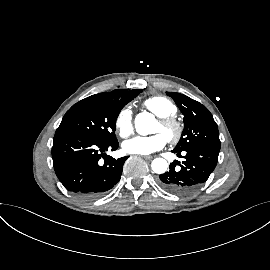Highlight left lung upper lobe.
I'll list each match as a JSON object with an SVG mask.
<instances>
[{
	"label": "left lung upper lobe",
	"mask_w": 270,
	"mask_h": 270,
	"mask_svg": "<svg viewBox=\"0 0 270 270\" xmlns=\"http://www.w3.org/2000/svg\"><path fill=\"white\" fill-rule=\"evenodd\" d=\"M167 95L184 115V130L174 149L183 151L201 147L220 151L218 127L209 110L186 95L176 92H167Z\"/></svg>",
	"instance_id": "1"
}]
</instances>
